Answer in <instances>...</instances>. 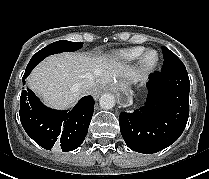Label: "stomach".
<instances>
[{
    "mask_svg": "<svg viewBox=\"0 0 209 179\" xmlns=\"http://www.w3.org/2000/svg\"><path fill=\"white\" fill-rule=\"evenodd\" d=\"M117 86L120 87V89L124 92L129 91V85L125 82H118Z\"/></svg>",
    "mask_w": 209,
    "mask_h": 179,
    "instance_id": "1",
    "label": "stomach"
}]
</instances>
